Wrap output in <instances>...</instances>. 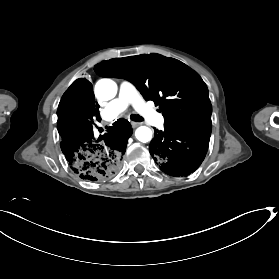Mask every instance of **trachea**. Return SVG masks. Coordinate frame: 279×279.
I'll return each mask as SVG.
<instances>
[{
	"mask_svg": "<svg viewBox=\"0 0 279 279\" xmlns=\"http://www.w3.org/2000/svg\"><path fill=\"white\" fill-rule=\"evenodd\" d=\"M131 120L135 121V122H141L144 120L143 117H141L140 115H132L131 116Z\"/></svg>",
	"mask_w": 279,
	"mask_h": 279,
	"instance_id": "1",
	"label": "trachea"
}]
</instances>
